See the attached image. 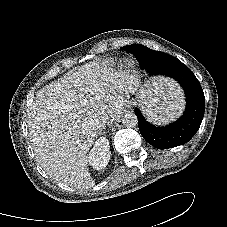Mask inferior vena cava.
Segmentation results:
<instances>
[{
  "mask_svg": "<svg viewBox=\"0 0 227 227\" xmlns=\"http://www.w3.org/2000/svg\"><path fill=\"white\" fill-rule=\"evenodd\" d=\"M99 128H101L102 127V125L101 124H99V126H98Z\"/></svg>",
  "mask_w": 227,
  "mask_h": 227,
  "instance_id": "inferior-vena-cava-1",
  "label": "inferior vena cava"
}]
</instances>
